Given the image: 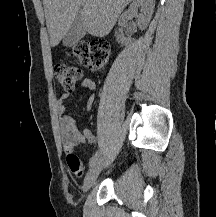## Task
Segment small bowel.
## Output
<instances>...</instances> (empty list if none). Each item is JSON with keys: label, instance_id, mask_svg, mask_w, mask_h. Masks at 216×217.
<instances>
[{"label": "small bowel", "instance_id": "small-bowel-1", "mask_svg": "<svg viewBox=\"0 0 216 217\" xmlns=\"http://www.w3.org/2000/svg\"><path fill=\"white\" fill-rule=\"evenodd\" d=\"M81 86L90 92L88 98V105L90 106L94 101L95 82L90 78L83 79ZM71 91H64L57 99V112L60 122V134L61 139L67 154L72 153L74 147L81 144L96 143V137L93 135L90 129L84 128L79 130L76 126V121L66 113V107L64 102L70 97ZM82 172L78 175H81Z\"/></svg>", "mask_w": 216, "mask_h": 217}]
</instances>
